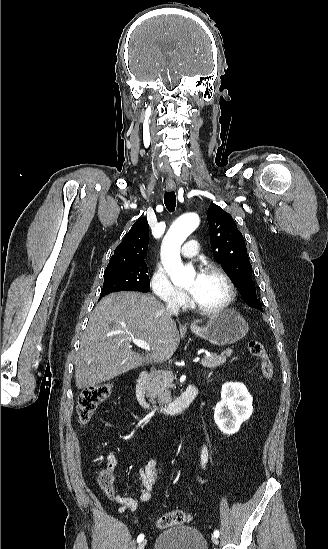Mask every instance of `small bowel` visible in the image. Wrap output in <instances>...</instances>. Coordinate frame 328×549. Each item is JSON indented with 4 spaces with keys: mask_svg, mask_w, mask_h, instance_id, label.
I'll return each instance as SVG.
<instances>
[{
    "mask_svg": "<svg viewBox=\"0 0 328 549\" xmlns=\"http://www.w3.org/2000/svg\"><path fill=\"white\" fill-rule=\"evenodd\" d=\"M209 457L210 446L208 443H204L200 451V465L203 469L206 468ZM117 464L118 461L115 455L108 454L106 456V469L110 474L114 472ZM157 464L158 462L156 459H150L142 468H140L138 472V479L141 487L139 501L142 503L148 502L151 499L152 491L159 481ZM110 498L120 504L122 511H134L138 506V502L136 500L115 494L114 489Z\"/></svg>",
    "mask_w": 328,
    "mask_h": 549,
    "instance_id": "small-bowel-1",
    "label": "small bowel"
}]
</instances>
